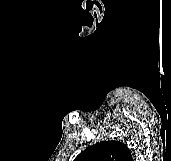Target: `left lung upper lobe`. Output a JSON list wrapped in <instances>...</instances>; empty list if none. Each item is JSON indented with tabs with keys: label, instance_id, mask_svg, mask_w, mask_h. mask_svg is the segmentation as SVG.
I'll return each instance as SVG.
<instances>
[{
	"label": "left lung upper lobe",
	"instance_id": "5c2ea615",
	"mask_svg": "<svg viewBox=\"0 0 171 161\" xmlns=\"http://www.w3.org/2000/svg\"><path fill=\"white\" fill-rule=\"evenodd\" d=\"M74 161H133V157L125 144L111 140L88 147Z\"/></svg>",
	"mask_w": 171,
	"mask_h": 161
}]
</instances>
